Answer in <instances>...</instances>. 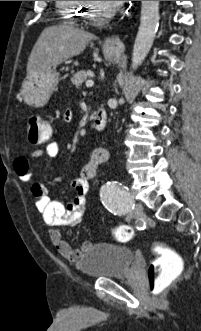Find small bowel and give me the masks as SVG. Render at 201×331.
<instances>
[{
    "label": "small bowel",
    "mask_w": 201,
    "mask_h": 331,
    "mask_svg": "<svg viewBox=\"0 0 201 331\" xmlns=\"http://www.w3.org/2000/svg\"><path fill=\"white\" fill-rule=\"evenodd\" d=\"M71 119V112L65 113V120ZM60 153V145L57 141L49 142L44 148L35 150L30 157H19L14 161V170L17 176L24 182L31 183V194L36 208L43 222L50 228L49 236L56 249L64 257L75 261L88 250L93 244L90 241L82 243L80 248L74 249L70 243L56 229L60 226L74 227L78 225L86 212L87 195L89 193V180L95 177L97 168L106 162L110 153L106 148H96L89 161L81 168L80 175L70 182L73 199L64 204L60 200L52 199L47 188L36 182L29 171V159L46 156L55 159Z\"/></svg>",
    "instance_id": "c3829d8e"
}]
</instances>
